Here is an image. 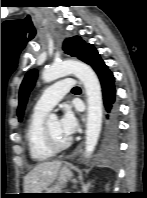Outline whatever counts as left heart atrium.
Instances as JSON below:
<instances>
[{
    "label": "left heart atrium",
    "instance_id": "1",
    "mask_svg": "<svg viewBox=\"0 0 147 198\" xmlns=\"http://www.w3.org/2000/svg\"><path fill=\"white\" fill-rule=\"evenodd\" d=\"M77 128V121L74 114L66 109L63 116L59 120V129L64 137L68 140L74 134Z\"/></svg>",
    "mask_w": 147,
    "mask_h": 198
}]
</instances>
